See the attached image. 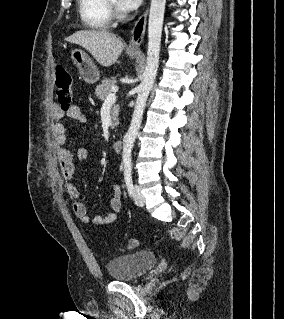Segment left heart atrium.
<instances>
[{
  "instance_id": "obj_1",
  "label": "left heart atrium",
  "mask_w": 284,
  "mask_h": 319,
  "mask_svg": "<svg viewBox=\"0 0 284 319\" xmlns=\"http://www.w3.org/2000/svg\"><path fill=\"white\" fill-rule=\"evenodd\" d=\"M118 7L123 11H133L140 6L142 0H117Z\"/></svg>"
}]
</instances>
